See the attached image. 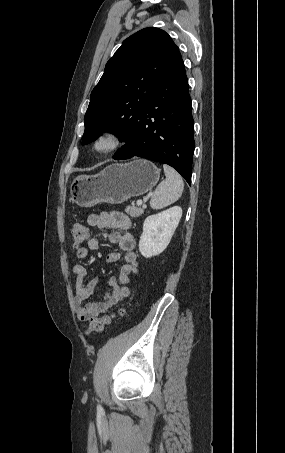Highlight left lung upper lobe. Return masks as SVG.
<instances>
[{"label": "left lung upper lobe", "instance_id": "5c2ea615", "mask_svg": "<svg viewBox=\"0 0 285 453\" xmlns=\"http://www.w3.org/2000/svg\"><path fill=\"white\" fill-rule=\"evenodd\" d=\"M177 52L171 37L159 28H144L124 40L91 92L82 144L105 131L125 141Z\"/></svg>", "mask_w": 285, "mask_h": 453}]
</instances>
